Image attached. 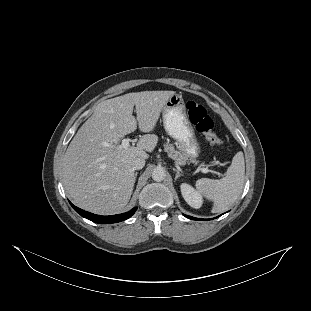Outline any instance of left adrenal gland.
Instances as JSON below:
<instances>
[{"label":"left adrenal gland","instance_id":"obj_1","mask_svg":"<svg viewBox=\"0 0 311 311\" xmlns=\"http://www.w3.org/2000/svg\"><path fill=\"white\" fill-rule=\"evenodd\" d=\"M173 171L176 172L174 180H177L180 176H182V173H180L177 169L173 168Z\"/></svg>","mask_w":311,"mask_h":311}]
</instances>
